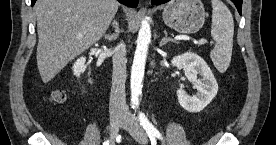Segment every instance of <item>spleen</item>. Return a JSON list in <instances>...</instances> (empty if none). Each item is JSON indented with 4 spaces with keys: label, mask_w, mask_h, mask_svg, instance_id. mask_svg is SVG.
Returning a JSON list of instances; mask_svg holds the SVG:
<instances>
[{
    "label": "spleen",
    "mask_w": 276,
    "mask_h": 145,
    "mask_svg": "<svg viewBox=\"0 0 276 145\" xmlns=\"http://www.w3.org/2000/svg\"><path fill=\"white\" fill-rule=\"evenodd\" d=\"M211 35L215 47L210 52L211 60L216 69L224 73L229 67L234 35V21L227 6L220 0H212Z\"/></svg>",
    "instance_id": "3e777b00"
}]
</instances>
